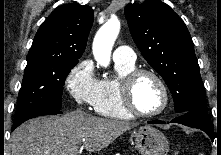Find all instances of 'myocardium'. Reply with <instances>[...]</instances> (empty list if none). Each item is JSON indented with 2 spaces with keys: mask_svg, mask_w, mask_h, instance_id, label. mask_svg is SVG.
Returning <instances> with one entry per match:
<instances>
[{
  "mask_svg": "<svg viewBox=\"0 0 221 155\" xmlns=\"http://www.w3.org/2000/svg\"><path fill=\"white\" fill-rule=\"evenodd\" d=\"M142 76H150L152 77L160 86L163 94V103L162 106L154 112H143L141 111L134 101V87L137 81ZM120 96L122 100V104L124 108L132 115L144 118H152L161 115L165 112L169 105L170 96L168 87L163 80V78L153 70L150 69H134L127 75H125L120 82Z\"/></svg>",
  "mask_w": 221,
  "mask_h": 155,
  "instance_id": "f54148a6",
  "label": "myocardium"
}]
</instances>
